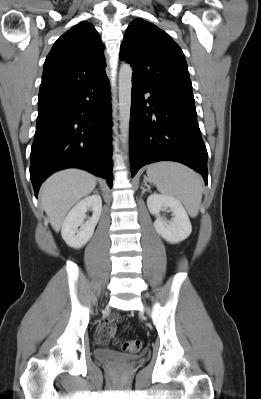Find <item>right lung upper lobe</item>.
<instances>
[{"label": "right lung upper lobe", "instance_id": "right-lung-upper-lobe-1", "mask_svg": "<svg viewBox=\"0 0 261 399\" xmlns=\"http://www.w3.org/2000/svg\"><path fill=\"white\" fill-rule=\"evenodd\" d=\"M103 44L94 26L82 22L53 45L43 67L39 100L58 95L106 75Z\"/></svg>", "mask_w": 261, "mask_h": 399}]
</instances>
